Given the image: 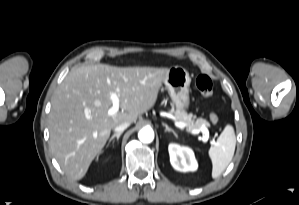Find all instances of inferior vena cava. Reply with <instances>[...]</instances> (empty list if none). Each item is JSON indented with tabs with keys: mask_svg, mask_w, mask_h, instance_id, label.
Instances as JSON below:
<instances>
[{
	"mask_svg": "<svg viewBox=\"0 0 299 205\" xmlns=\"http://www.w3.org/2000/svg\"><path fill=\"white\" fill-rule=\"evenodd\" d=\"M129 125H130L129 122H123V123H121L120 125L116 126V127L114 128V131H115L116 133L123 132L126 128L129 127Z\"/></svg>",
	"mask_w": 299,
	"mask_h": 205,
	"instance_id": "inferior-vena-cava-1",
	"label": "inferior vena cava"
}]
</instances>
